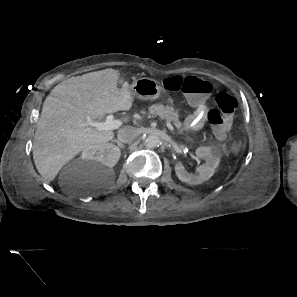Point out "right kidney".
<instances>
[{"label": "right kidney", "mask_w": 297, "mask_h": 297, "mask_svg": "<svg viewBox=\"0 0 297 297\" xmlns=\"http://www.w3.org/2000/svg\"><path fill=\"white\" fill-rule=\"evenodd\" d=\"M120 149L111 143L91 145L85 148L81 158L91 161L95 165L113 168L120 158Z\"/></svg>", "instance_id": "right-kidney-1"}]
</instances>
